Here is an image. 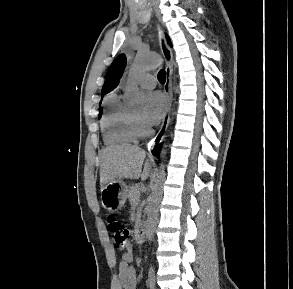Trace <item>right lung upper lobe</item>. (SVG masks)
Wrapping results in <instances>:
<instances>
[{"label": "right lung upper lobe", "mask_w": 293, "mask_h": 289, "mask_svg": "<svg viewBox=\"0 0 293 289\" xmlns=\"http://www.w3.org/2000/svg\"><path fill=\"white\" fill-rule=\"evenodd\" d=\"M125 65L126 57L123 54L118 56L113 61L106 74L105 83L102 87V95L109 93L118 85L119 79L123 73Z\"/></svg>", "instance_id": "obj_1"}]
</instances>
